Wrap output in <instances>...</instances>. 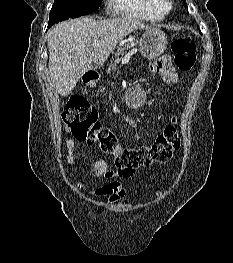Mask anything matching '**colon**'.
I'll use <instances>...</instances> for the list:
<instances>
[{"instance_id": "obj_1", "label": "colon", "mask_w": 233, "mask_h": 263, "mask_svg": "<svg viewBox=\"0 0 233 263\" xmlns=\"http://www.w3.org/2000/svg\"><path fill=\"white\" fill-rule=\"evenodd\" d=\"M174 64L181 71H189L196 62V47L188 36H178L171 44ZM63 120L75 138L92 144L115 158V166L124 175L153 163L166 162L179 149L181 139L175 119L148 146L126 147L120 144L113 130L102 125L97 110L82 97H73L66 104Z\"/></svg>"}]
</instances>
